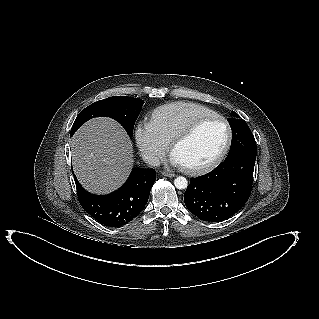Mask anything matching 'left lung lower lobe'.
Returning <instances> with one entry per match:
<instances>
[{"label": "left lung lower lobe", "instance_id": "obj_1", "mask_svg": "<svg viewBox=\"0 0 319 319\" xmlns=\"http://www.w3.org/2000/svg\"><path fill=\"white\" fill-rule=\"evenodd\" d=\"M256 155L244 152L227 156L213 171L191 178L184 193L187 209L208 222L233 216L250 196Z\"/></svg>", "mask_w": 319, "mask_h": 319}]
</instances>
